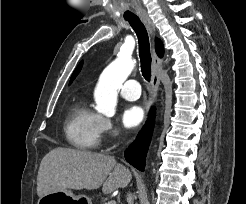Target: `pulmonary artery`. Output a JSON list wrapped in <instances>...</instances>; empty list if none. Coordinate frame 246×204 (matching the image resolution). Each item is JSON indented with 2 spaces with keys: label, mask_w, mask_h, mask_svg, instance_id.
<instances>
[{
  "label": "pulmonary artery",
  "mask_w": 246,
  "mask_h": 204,
  "mask_svg": "<svg viewBox=\"0 0 246 204\" xmlns=\"http://www.w3.org/2000/svg\"><path fill=\"white\" fill-rule=\"evenodd\" d=\"M120 94L126 100H137L141 95V87L139 82L133 79L127 80L123 84Z\"/></svg>",
  "instance_id": "e3ab8cb5"
}]
</instances>
